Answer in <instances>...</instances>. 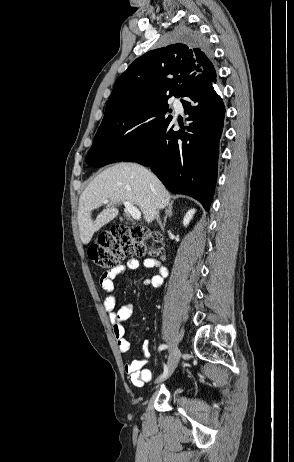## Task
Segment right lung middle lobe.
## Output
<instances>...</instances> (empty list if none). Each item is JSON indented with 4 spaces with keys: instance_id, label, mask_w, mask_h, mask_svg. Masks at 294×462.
<instances>
[{
    "instance_id": "right-lung-middle-lobe-1",
    "label": "right lung middle lobe",
    "mask_w": 294,
    "mask_h": 462,
    "mask_svg": "<svg viewBox=\"0 0 294 462\" xmlns=\"http://www.w3.org/2000/svg\"><path fill=\"white\" fill-rule=\"evenodd\" d=\"M176 38L190 46L208 50L207 40L195 29L182 27L177 30ZM169 97L146 100L105 116L94 137L86 162L101 158L104 166L122 161L172 119L171 116L166 117L171 112L167 103Z\"/></svg>"
}]
</instances>
